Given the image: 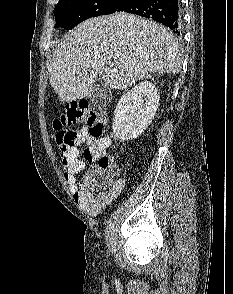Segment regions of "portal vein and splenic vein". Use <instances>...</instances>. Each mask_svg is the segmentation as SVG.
<instances>
[{
  "label": "portal vein and splenic vein",
  "mask_w": 233,
  "mask_h": 294,
  "mask_svg": "<svg viewBox=\"0 0 233 294\" xmlns=\"http://www.w3.org/2000/svg\"><path fill=\"white\" fill-rule=\"evenodd\" d=\"M109 65H110L111 67H113V66H114V63H113V62H110Z\"/></svg>",
  "instance_id": "obj_1"
}]
</instances>
